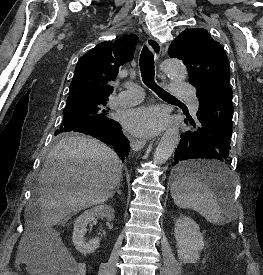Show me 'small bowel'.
<instances>
[{"instance_id": "small-bowel-1", "label": "small bowel", "mask_w": 263, "mask_h": 275, "mask_svg": "<svg viewBox=\"0 0 263 275\" xmlns=\"http://www.w3.org/2000/svg\"><path fill=\"white\" fill-rule=\"evenodd\" d=\"M32 270L36 271V272H40L41 269L39 267H33Z\"/></svg>"}]
</instances>
